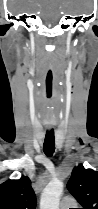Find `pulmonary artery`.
<instances>
[{
	"mask_svg": "<svg viewBox=\"0 0 98 209\" xmlns=\"http://www.w3.org/2000/svg\"><path fill=\"white\" fill-rule=\"evenodd\" d=\"M75 200L71 197H65L60 202V209H70L74 206Z\"/></svg>",
	"mask_w": 98,
	"mask_h": 209,
	"instance_id": "pulmonary-artery-1",
	"label": "pulmonary artery"
}]
</instances>
